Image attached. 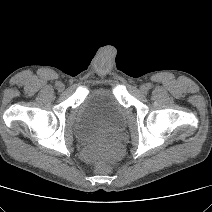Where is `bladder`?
I'll return each mask as SVG.
<instances>
[{"mask_svg": "<svg viewBox=\"0 0 212 212\" xmlns=\"http://www.w3.org/2000/svg\"><path fill=\"white\" fill-rule=\"evenodd\" d=\"M126 109L110 89L89 92L77 110L74 132L84 142L103 134L121 132L126 125Z\"/></svg>", "mask_w": 212, "mask_h": 212, "instance_id": "31cf9c89", "label": "bladder"}]
</instances>
